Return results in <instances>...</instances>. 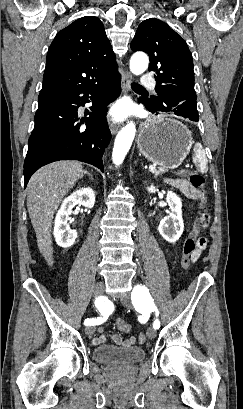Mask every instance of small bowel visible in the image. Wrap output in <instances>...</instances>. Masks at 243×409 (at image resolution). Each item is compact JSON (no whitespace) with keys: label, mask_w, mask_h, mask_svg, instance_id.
<instances>
[{"label":"small bowel","mask_w":243,"mask_h":409,"mask_svg":"<svg viewBox=\"0 0 243 409\" xmlns=\"http://www.w3.org/2000/svg\"><path fill=\"white\" fill-rule=\"evenodd\" d=\"M168 184L179 189L182 193H184L188 198L191 199H200V193L196 189H194L186 180L183 179H176V180H168ZM209 222V214L207 212L204 213L203 216V227H207ZM207 247V240L204 237H199L197 240V245L196 249L192 254V261L195 262L197 261L200 256L203 254ZM112 312V307L111 305H107L104 309L103 316L101 317L104 321L108 318V316ZM103 321V322H104ZM98 333L99 336L95 337L92 342L94 345H100L104 343L107 339H111L113 342H115L117 345L125 346V347H131L136 345L139 341V337L136 338L134 336H131L127 339H123L119 335L116 334H105L104 328L99 327L98 328Z\"/></svg>","instance_id":"obj_1"}]
</instances>
